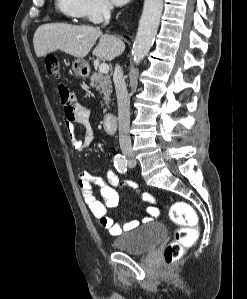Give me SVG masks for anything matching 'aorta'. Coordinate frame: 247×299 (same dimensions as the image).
I'll return each instance as SVG.
<instances>
[{
	"label": "aorta",
	"instance_id": "obj_1",
	"mask_svg": "<svg viewBox=\"0 0 247 299\" xmlns=\"http://www.w3.org/2000/svg\"><path fill=\"white\" fill-rule=\"evenodd\" d=\"M163 10V0H145L137 35L132 48L135 64L148 54L155 40Z\"/></svg>",
	"mask_w": 247,
	"mask_h": 299
}]
</instances>
